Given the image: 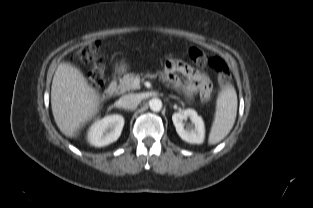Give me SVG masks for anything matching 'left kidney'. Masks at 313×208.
<instances>
[{"mask_svg":"<svg viewBox=\"0 0 313 208\" xmlns=\"http://www.w3.org/2000/svg\"><path fill=\"white\" fill-rule=\"evenodd\" d=\"M191 120V124L186 125L184 121ZM172 121L178 135L182 140L191 144H201L205 138L204 122L193 109H185L172 115Z\"/></svg>","mask_w":313,"mask_h":208,"instance_id":"obj_1","label":"left kidney"}]
</instances>
